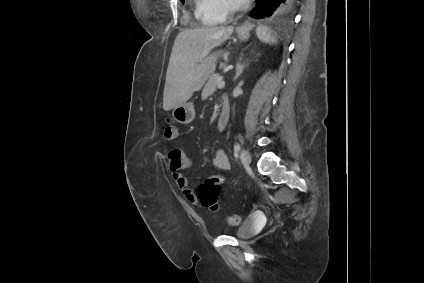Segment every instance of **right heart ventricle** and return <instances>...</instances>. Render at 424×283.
<instances>
[{
    "instance_id": "right-heart-ventricle-1",
    "label": "right heart ventricle",
    "mask_w": 424,
    "mask_h": 283,
    "mask_svg": "<svg viewBox=\"0 0 424 283\" xmlns=\"http://www.w3.org/2000/svg\"><path fill=\"white\" fill-rule=\"evenodd\" d=\"M195 15L206 26L217 25L224 21V17L217 13L207 0H196Z\"/></svg>"
}]
</instances>
